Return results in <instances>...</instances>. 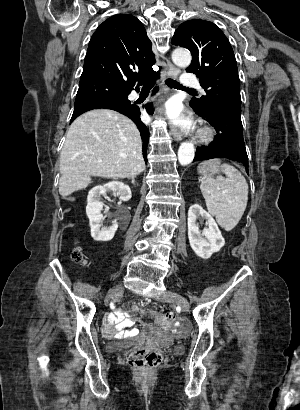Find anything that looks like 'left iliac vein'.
Segmentation results:
<instances>
[{
  "mask_svg": "<svg viewBox=\"0 0 300 410\" xmlns=\"http://www.w3.org/2000/svg\"><path fill=\"white\" fill-rule=\"evenodd\" d=\"M158 300L175 303L179 305L184 311H188L190 309L189 302L185 297L170 290L164 291L163 294L159 296Z\"/></svg>",
  "mask_w": 300,
  "mask_h": 410,
  "instance_id": "obj_1",
  "label": "left iliac vein"
}]
</instances>
